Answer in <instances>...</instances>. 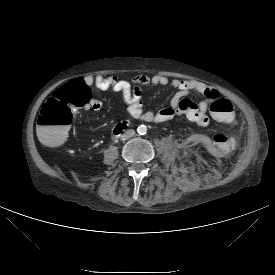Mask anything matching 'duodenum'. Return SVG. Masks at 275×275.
I'll list each match as a JSON object with an SVG mask.
<instances>
[{
    "instance_id": "1",
    "label": "duodenum",
    "mask_w": 275,
    "mask_h": 275,
    "mask_svg": "<svg viewBox=\"0 0 275 275\" xmlns=\"http://www.w3.org/2000/svg\"><path fill=\"white\" fill-rule=\"evenodd\" d=\"M128 126V122L127 121H123L119 124H117L114 129H113V136L117 137L119 136Z\"/></svg>"
}]
</instances>
